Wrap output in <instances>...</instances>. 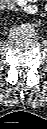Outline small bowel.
Listing matches in <instances>:
<instances>
[{"instance_id": "c3829d8e", "label": "small bowel", "mask_w": 47, "mask_h": 129, "mask_svg": "<svg viewBox=\"0 0 47 129\" xmlns=\"http://www.w3.org/2000/svg\"><path fill=\"white\" fill-rule=\"evenodd\" d=\"M37 0H2L1 6L4 9H19L29 14H34L38 11L35 2Z\"/></svg>"}]
</instances>
